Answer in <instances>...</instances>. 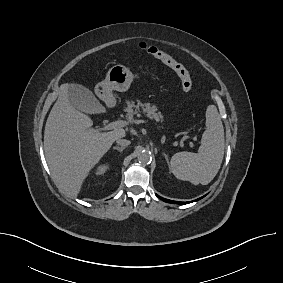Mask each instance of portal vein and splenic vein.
<instances>
[{
    "label": "portal vein and splenic vein",
    "instance_id": "obj_1",
    "mask_svg": "<svg viewBox=\"0 0 283 283\" xmlns=\"http://www.w3.org/2000/svg\"><path fill=\"white\" fill-rule=\"evenodd\" d=\"M130 123H136V124H141V123H146L145 120H133V121H125V120H117L114 122H110L107 125L103 127V130H111V129H117V128H122L127 126ZM190 147H193V143L190 142Z\"/></svg>",
    "mask_w": 283,
    "mask_h": 283
}]
</instances>
